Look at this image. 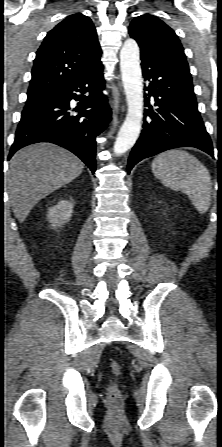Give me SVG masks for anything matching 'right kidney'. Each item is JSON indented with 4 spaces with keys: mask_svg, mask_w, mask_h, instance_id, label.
<instances>
[{
    "mask_svg": "<svg viewBox=\"0 0 222 447\" xmlns=\"http://www.w3.org/2000/svg\"><path fill=\"white\" fill-rule=\"evenodd\" d=\"M73 213V203L60 200L55 206L48 209L47 219L53 228L61 227L68 222Z\"/></svg>",
    "mask_w": 222,
    "mask_h": 447,
    "instance_id": "ca27d5eb",
    "label": "right kidney"
}]
</instances>
